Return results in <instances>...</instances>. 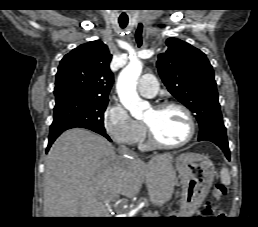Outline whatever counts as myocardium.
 Instances as JSON below:
<instances>
[{"instance_id": "obj_1", "label": "myocardium", "mask_w": 258, "mask_h": 227, "mask_svg": "<svg viewBox=\"0 0 258 227\" xmlns=\"http://www.w3.org/2000/svg\"><path fill=\"white\" fill-rule=\"evenodd\" d=\"M171 107L178 108L185 114V116L187 117L188 123H189V133H188L187 137L180 142L166 143V142L160 140L158 138V136L156 135V133L154 132V130L152 129V127L148 123L145 122V126L147 128L148 135L150 138V142L155 147L165 148V149L179 148V147H182V146L188 144L195 136L196 122H195L192 112L185 105H183L179 102H175V101H164V102L158 103L153 106V108L155 110H163V109L171 108Z\"/></svg>"}]
</instances>
